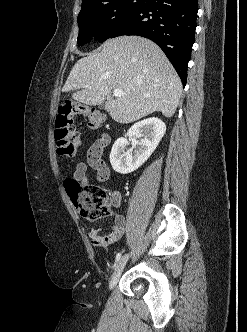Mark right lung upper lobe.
I'll use <instances>...</instances> for the list:
<instances>
[{
    "label": "right lung upper lobe",
    "instance_id": "right-lung-upper-lobe-1",
    "mask_svg": "<svg viewBox=\"0 0 247 332\" xmlns=\"http://www.w3.org/2000/svg\"><path fill=\"white\" fill-rule=\"evenodd\" d=\"M99 1H101V0H82V8H81V10L85 9V8L91 6V5H93V4H95V3L99 2Z\"/></svg>",
    "mask_w": 247,
    "mask_h": 332
}]
</instances>
